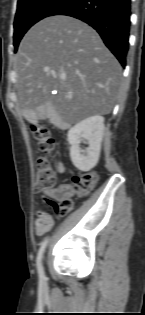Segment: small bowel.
<instances>
[{"instance_id": "1", "label": "small bowel", "mask_w": 145, "mask_h": 315, "mask_svg": "<svg viewBox=\"0 0 145 315\" xmlns=\"http://www.w3.org/2000/svg\"><path fill=\"white\" fill-rule=\"evenodd\" d=\"M58 169L60 172L64 171L65 168L62 162H59ZM74 192V189L70 185L64 184L48 190L47 195L54 200L60 201L62 198L73 195ZM53 223L54 220L50 215L46 213H40L35 226L36 235L42 236L50 231Z\"/></svg>"}]
</instances>
